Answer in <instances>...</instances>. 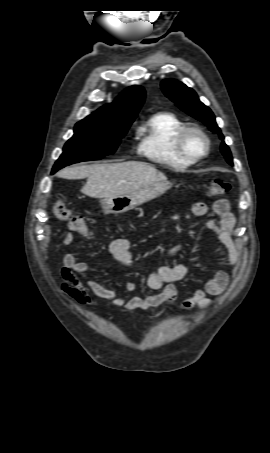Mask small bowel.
Returning a JSON list of instances; mask_svg holds the SVG:
<instances>
[{"label": "small bowel", "instance_id": "c3829d8e", "mask_svg": "<svg viewBox=\"0 0 270 453\" xmlns=\"http://www.w3.org/2000/svg\"><path fill=\"white\" fill-rule=\"evenodd\" d=\"M212 210L217 219L209 220L207 228L211 231L220 243L227 250V261L231 267H236L240 257V246L233 240L232 232L235 225L234 216L230 210L229 202L226 199L216 200ZM208 212V206L204 202H196L192 206V213L196 217H202ZM75 242V237L71 233H66L62 239L65 246H71ZM110 252L115 259L123 266L132 264L130 243L125 238H115L110 243ZM182 244H176L168 250L167 255L173 257L179 253ZM64 265L60 270L63 278L62 291L80 306L92 304L90 290L94 295L111 300L113 306L125 312L142 309L151 310L164 305L171 307L177 300V289L174 283L184 281L189 276V268L184 264L174 266H161L150 272L146 277L147 286L157 291V293L132 296L129 295L137 289V284L133 281L126 283L124 292L120 293L115 289L108 288L90 277L87 263L80 261L72 253H66L63 257ZM230 281V274L226 270L220 269L212 273L204 284L195 289L192 296L180 303L182 311L190 310L194 307L206 309L212 305L209 295H219L223 293Z\"/></svg>", "mask_w": 270, "mask_h": 453}]
</instances>
